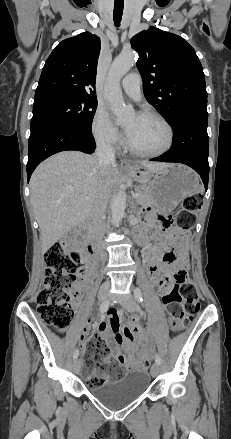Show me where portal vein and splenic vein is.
Segmentation results:
<instances>
[{"mask_svg": "<svg viewBox=\"0 0 231 439\" xmlns=\"http://www.w3.org/2000/svg\"><path fill=\"white\" fill-rule=\"evenodd\" d=\"M138 196H139L138 193H135V194L133 195V197H135V198H137Z\"/></svg>", "mask_w": 231, "mask_h": 439, "instance_id": "portal-vein-and-splenic-vein-1", "label": "portal vein and splenic vein"}]
</instances>
